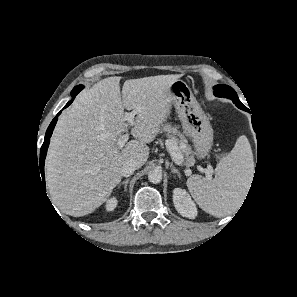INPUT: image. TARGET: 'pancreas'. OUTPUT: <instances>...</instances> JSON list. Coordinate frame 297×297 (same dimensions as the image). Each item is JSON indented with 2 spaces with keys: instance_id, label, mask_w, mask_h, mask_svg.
I'll use <instances>...</instances> for the list:
<instances>
[{
  "instance_id": "obj_1",
  "label": "pancreas",
  "mask_w": 297,
  "mask_h": 297,
  "mask_svg": "<svg viewBox=\"0 0 297 297\" xmlns=\"http://www.w3.org/2000/svg\"><path fill=\"white\" fill-rule=\"evenodd\" d=\"M164 129L171 133L169 135V140L174 143V145L177 147L176 152L181 155L182 157L185 155L186 157H190V155L193 153L191 147L185 143L184 137L180 134L178 129L176 127L171 126L170 124H166L164 126ZM175 135H178L180 139L176 138Z\"/></svg>"
}]
</instances>
